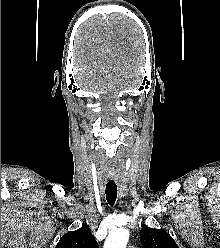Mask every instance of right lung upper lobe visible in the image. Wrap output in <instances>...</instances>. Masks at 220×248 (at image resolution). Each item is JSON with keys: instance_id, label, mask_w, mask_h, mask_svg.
<instances>
[{"instance_id": "obj_1", "label": "right lung upper lobe", "mask_w": 220, "mask_h": 248, "mask_svg": "<svg viewBox=\"0 0 220 248\" xmlns=\"http://www.w3.org/2000/svg\"><path fill=\"white\" fill-rule=\"evenodd\" d=\"M55 248H99L91 230L84 225L80 229L64 234Z\"/></svg>"}]
</instances>
